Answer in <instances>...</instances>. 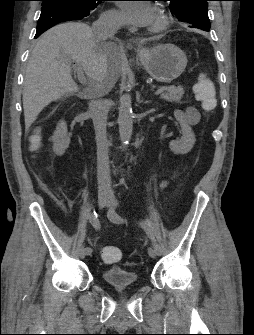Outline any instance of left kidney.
Listing matches in <instances>:
<instances>
[{"mask_svg":"<svg viewBox=\"0 0 254 335\" xmlns=\"http://www.w3.org/2000/svg\"><path fill=\"white\" fill-rule=\"evenodd\" d=\"M174 117L180 124L182 137L169 143L170 150L174 154H187L192 150L196 141L194 132L182 111L175 110Z\"/></svg>","mask_w":254,"mask_h":335,"instance_id":"obj_1","label":"left kidney"}]
</instances>
